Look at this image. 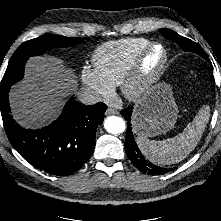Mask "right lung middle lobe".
Here are the masks:
<instances>
[{
    "instance_id": "right-lung-middle-lobe-1",
    "label": "right lung middle lobe",
    "mask_w": 221,
    "mask_h": 221,
    "mask_svg": "<svg viewBox=\"0 0 221 221\" xmlns=\"http://www.w3.org/2000/svg\"><path fill=\"white\" fill-rule=\"evenodd\" d=\"M81 42L78 37H64L61 35H45L24 42L11 57L1 82V87L10 86L22 79L24 67L30 56L39 55L51 48L74 46Z\"/></svg>"
}]
</instances>
